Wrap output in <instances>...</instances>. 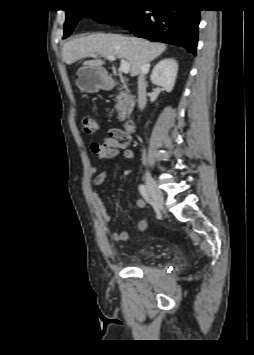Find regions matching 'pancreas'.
Listing matches in <instances>:
<instances>
[{
  "instance_id": "obj_1",
  "label": "pancreas",
  "mask_w": 254,
  "mask_h": 355,
  "mask_svg": "<svg viewBox=\"0 0 254 355\" xmlns=\"http://www.w3.org/2000/svg\"><path fill=\"white\" fill-rule=\"evenodd\" d=\"M117 98L115 106L118 112V119L124 121L127 116L132 112L134 107V97L130 94L129 90L121 91Z\"/></svg>"
}]
</instances>
